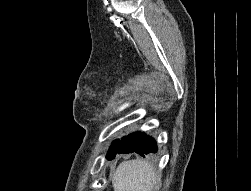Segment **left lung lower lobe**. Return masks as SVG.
I'll list each match as a JSON object with an SVG mask.
<instances>
[{"label": "left lung lower lobe", "instance_id": "left-lung-lower-lobe-1", "mask_svg": "<svg viewBox=\"0 0 251 191\" xmlns=\"http://www.w3.org/2000/svg\"><path fill=\"white\" fill-rule=\"evenodd\" d=\"M157 145L152 137L144 133L136 132L117 140L113 152L107 157L113 159L117 154L138 153L140 156L145 154L156 153Z\"/></svg>", "mask_w": 251, "mask_h": 191}]
</instances>
